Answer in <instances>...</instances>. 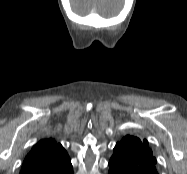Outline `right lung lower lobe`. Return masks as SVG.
<instances>
[{
    "label": "right lung lower lobe",
    "instance_id": "right-lung-lower-lobe-1",
    "mask_svg": "<svg viewBox=\"0 0 187 174\" xmlns=\"http://www.w3.org/2000/svg\"><path fill=\"white\" fill-rule=\"evenodd\" d=\"M66 174H73V170L67 172Z\"/></svg>",
    "mask_w": 187,
    "mask_h": 174
}]
</instances>
